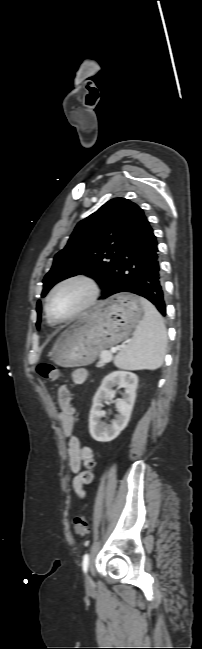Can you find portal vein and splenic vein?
I'll return each mask as SVG.
<instances>
[{
	"mask_svg": "<svg viewBox=\"0 0 202 649\" xmlns=\"http://www.w3.org/2000/svg\"><path fill=\"white\" fill-rule=\"evenodd\" d=\"M111 351L116 352V349L112 348ZM100 357H101V360L104 361V362H110L112 360V354L111 353L102 352Z\"/></svg>",
	"mask_w": 202,
	"mask_h": 649,
	"instance_id": "18ae733b",
	"label": "portal vein and splenic vein"
}]
</instances>
